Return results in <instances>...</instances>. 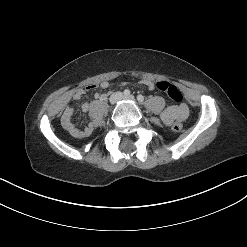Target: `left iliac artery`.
I'll return each instance as SVG.
<instances>
[{"label": "left iliac artery", "mask_w": 247, "mask_h": 247, "mask_svg": "<svg viewBox=\"0 0 247 247\" xmlns=\"http://www.w3.org/2000/svg\"><path fill=\"white\" fill-rule=\"evenodd\" d=\"M137 100L139 101V102H143L144 101V96L143 95H138L137 96Z\"/></svg>", "instance_id": "obj_1"}]
</instances>
